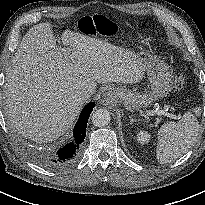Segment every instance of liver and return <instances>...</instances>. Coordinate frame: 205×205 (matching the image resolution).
<instances>
[{"instance_id": "1", "label": "liver", "mask_w": 205, "mask_h": 205, "mask_svg": "<svg viewBox=\"0 0 205 205\" xmlns=\"http://www.w3.org/2000/svg\"><path fill=\"white\" fill-rule=\"evenodd\" d=\"M62 52L49 23L23 37L7 71L6 115L11 127L37 143H47L73 124L83 103L79 90L95 92L97 83H136L144 66L132 52L66 29Z\"/></svg>"}]
</instances>
